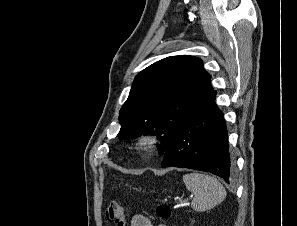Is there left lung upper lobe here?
Listing matches in <instances>:
<instances>
[{
	"mask_svg": "<svg viewBox=\"0 0 297 226\" xmlns=\"http://www.w3.org/2000/svg\"><path fill=\"white\" fill-rule=\"evenodd\" d=\"M201 59L179 55L164 58L141 71L120 110L119 139L156 135L165 154L177 130L196 104L213 88Z\"/></svg>",
	"mask_w": 297,
	"mask_h": 226,
	"instance_id": "obj_1",
	"label": "left lung upper lobe"
}]
</instances>
